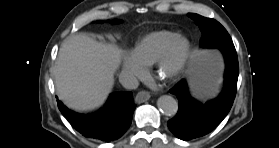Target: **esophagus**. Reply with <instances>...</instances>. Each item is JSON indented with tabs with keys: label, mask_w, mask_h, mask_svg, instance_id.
Returning <instances> with one entry per match:
<instances>
[{
	"label": "esophagus",
	"mask_w": 279,
	"mask_h": 148,
	"mask_svg": "<svg viewBox=\"0 0 279 148\" xmlns=\"http://www.w3.org/2000/svg\"><path fill=\"white\" fill-rule=\"evenodd\" d=\"M151 95L148 91H140L137 93L136 97H135V101L137 103H143L146 102L150 99Z\"/></svg>",
	"instance_id": "obj_1"
}]
</instances>
